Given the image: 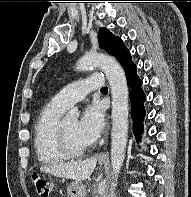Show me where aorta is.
<instances>
[{"mask_svg": "<svg viewBox=\"0 0 191 197\" xmlns=\"http://www.w3.org/2000/svg\"><path fill=\"white\" fill-rule=\"evenodd\" d=\"M91 67L103 70L112 95V132H111V165L112 176L116 180L125 159V149L128 136V86L126 76L121 65L112 57L105 54H87L77 63V69L85 71ZM79 117L76 109L70 110L66 119L75 121ZM111 188L109 197H114Z\"/></svg>", "mask_w": 191, "mask_h": 197, "instance_id": "obj_1", "label": "aorta"}]
</instances>
